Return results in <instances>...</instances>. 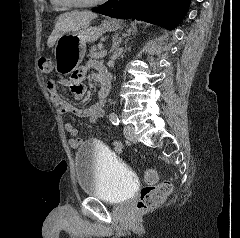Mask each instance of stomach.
I'll list each match as a JSON object with an SVG mask.
<instances>
[{"mask_svg": "<svg viewBox=\"0 0 240 238\" xmlns=\"http://www.w3.org/2000/svg\"><path fill=\"white\" fill-rule=\"evenodd\" d=\"M120 27V21L106 19L100 27L86 26L78 31L62 34L54 48L56 72L69 75L82 62L87 43L95 42L103 33L117 31Z\"/></svg>", "mask_w": 240, "mask_h": 238, "instance_id": "1", "label": "stomach"}]
</instances>
